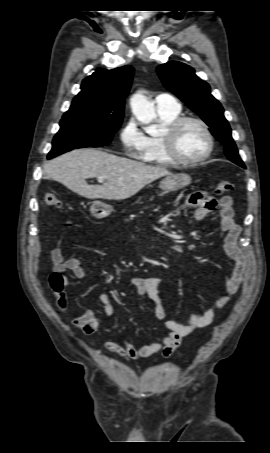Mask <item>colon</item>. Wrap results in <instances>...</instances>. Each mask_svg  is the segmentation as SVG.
I'll return each instance as SVG.
<instances>
[{
    "label": "colon",
    "instance_id": "1",
    "mask_svg": "<svg viewBox=\"0 0 270 453\" xmlns=\"http://www.w3.org/2000/svg\"><path fill=\"white\" fill-rule=\"evenodd\" d=\"M232 189H233V184L231 182L220 181L217 184L216 192L218 194H223V193L231 191ZM200 197L203 200L208 201V203H210L211 205H213V201L206 194L201 193ZM45 202L50 207H57V208L61 207V201L59 200L58 196L53 193L45 194ZM50 286L56 296L58 307L60 309H64L66 306V295L64 292V282H63V279L60 274L53 273L51 275Z\"/></svg>",
    "mask_w": 270,
    "mask_h": 453
}]
</instances>
